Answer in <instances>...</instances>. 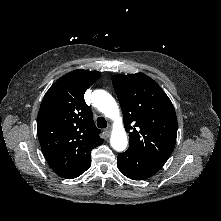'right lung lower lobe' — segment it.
<instances>
[{
  "instance_id": "obj_1",
  "label": "right lung lower lobe",
  "mask_w": 221,
  "mask_h": 221,
  "mask_svg": "<svg viewBox=\"0 0 221 221\" xmlns=\"http://www.w3.org/2000/svg\"><path fill=\"white\" fill-rule=\"evenodd\" d=\"M91 165V161L89 163H87L85 166H83L81 169H79L78 171H76L75 173L65 177V178H68V179H72V178H76L78 176H80L81 174H83L86 170L89 169Z\"/></svg>"
}]
</instances>
